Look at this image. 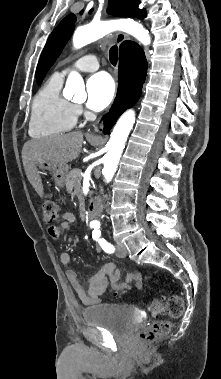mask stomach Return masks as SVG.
I'll return each mask as SVG.
<instances>
[{
	"instance_id": "1",
	"label": "stomach",
	"mask_w": 221,
	"mask_h": 379,
	"mask_svg": "<svg viewBox=\"0 0 221 379\" xmlns=\"http://www.w3.org/2000/svg\"><path fill=\"white\" fill-rule=\"evenodd\" d=\"M38 166L44 171L51 172L56 185L61 188L63 187L69 171V166L67 164H59L41 159L38 162Z\"/></svg>"
}]
</instances>
